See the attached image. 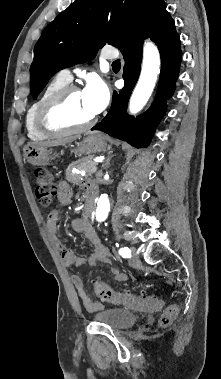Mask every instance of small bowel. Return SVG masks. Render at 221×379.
Wrapping results in <instances>:
<instances>
[{"label": "small bowel", "instance_id": "obj_1", "mask_svg": "<svg viewBox=\"0 0 221 379\" xmlns=\"http://www.w3.org/2000/svg\"><path fill=\"white\" fill-rule=\"evenodd\" d=\"M92 185L91 182L84 184V189L87 191L88 187ZM58 199L61 204L68 205L72 202L73 191L69 184L62 181L58 187ZM62 220V215L59 210L53 209L49 212L46 229L54 244L60 252L62 261L66 267L75 266L79 267L83 264L95 266L98 263L111 264L110 253L107 247L100 241L97 232L91 222L90 216L83 213L81 216L74 218L71 222V227L75 232L83 234L93 247V252L87 260L80 259L73 251L68 249L58 237V227ZM113 278L117 282H124L127 279L126 274L121 272L118 268L111 266ZM71 281L77 291V294L85 307L88 310L94 311L101 308V303L93 301L84 289L83 282L78 275H71Z\"/></svg>", "mask_w": 221, "mask_h": 379}]
</instances>
